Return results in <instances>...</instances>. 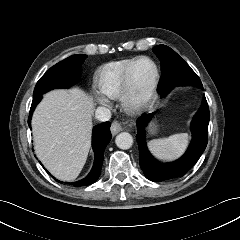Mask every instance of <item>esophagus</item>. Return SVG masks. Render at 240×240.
<instances>
[{
	"mask_svg": "<svg viewBox=\"0 0 240 240\" xmlns=\"http://www.w3.org/2000/svg\"><path fill=\"white\" fill-rule=\"evenodd\" d=\"M123 130V126L120 122L118 121H114L111 125V133L112 135H116L117 133H119L120 131Z\"/></svg>",
	"mask_w": 240,
	"mask_h": 240,
	"instance_id": "obj_1",
	"label": "esophagus"
}]
</instances>
